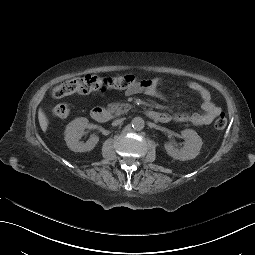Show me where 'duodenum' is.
<instances>
[{
	"instance_id": "410a0bca",
	"label": "duodenum",
	"mask_w": 255,
	"mask_h": 255,
	"mask_svg": "<svg viewBox=\"0 0 255 255\" xmlns=\"http://www.w3.org/2000/svg\"><path fill=\"white\" fill-rule=\"evenodd\" d=\"M147 115L155 122L167 123L171 120V116L167 113L148 111ZM91 117L97 122L104 123L112 118V114L103 107H95L91 110Z\"/></svg>"
}]
</instances>
